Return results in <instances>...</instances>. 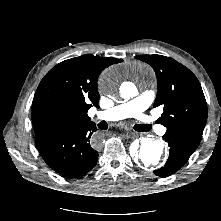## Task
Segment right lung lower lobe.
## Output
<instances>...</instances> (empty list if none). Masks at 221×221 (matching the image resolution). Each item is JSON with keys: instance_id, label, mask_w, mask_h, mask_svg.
I'll list each match as a JSON object with an SVG mask.
<instances>
[{"instance_id": "98d812e1", "label": "right lung lower lobe", "mask_w": 221, "mask_h": 221, "mask_svg": "<svg viewBox=\"0 0 221 221\" xmlns=\"http://www.w3.org/2000/svg\"><path fill=\"white\" fill-rule=\"evenodd\" d=\"M94 123L56 128L35 136L37 148L47 163L57 173L76 178L97 163L94 148Z\"/></svg>"}]
</instances>
